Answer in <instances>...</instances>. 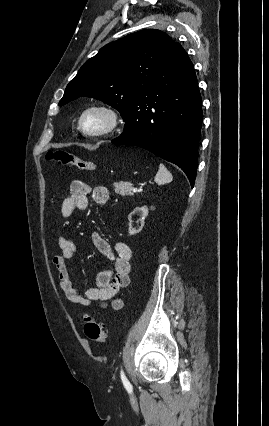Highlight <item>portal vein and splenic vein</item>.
<instances>
[{
	"mask_svg": "<svg viewBox=\"0 0 269 426\" xmlns=\"http://www.w3.org/2000/svg\"><path fill=\"white\" fill-rule=\"evenodd\" d=\"M132 191H133V192H137V191H138V189H137V188H133V189H132Z\"/></svg>",
	"mask_w": 269,
	"mask_h": 426,
	"instance_id": "portal-vein-and-splenic-vein-1",
	"label": "portal vein and splenic vein"
}]
</instances>
